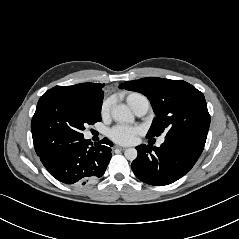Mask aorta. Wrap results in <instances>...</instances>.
I'll use <instances>...</instances> for the list:
<instances>
[{
	"label": "aorta",
	"instance_id": "aorta-1",
	"mask_svg": "<svg viewBox=\"0 0 239 239\" xmlns=\"http://www.w3.org/2000/svg\"><path fill=\"white\" fill-rule=\"evenodd\" d=\"M112 118L119 123H133L134 116L131 110L125 105H118L111 111ZM137 150L135 148H128L125 150V157L133 161L137 158Z\"/></svg>",
	"mask_w": 239,
	"mask_h": 239
}]
</instances>
